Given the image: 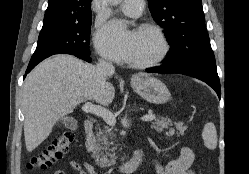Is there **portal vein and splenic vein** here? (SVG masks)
<instances>
[{
	"mask_svg": "<svg viewBox=\"0 0 249 174\" xmlns=\"http://www.w3.org/2000/svg\"><path fill=\"white\" fill-rule=\"evenodd\" d=\"M81 109L85 113H91L103 118L104 121L110 126H114L116 124V118L114 114L104 107L94 105L91 102H86ZM141 119L142 121H152L155 119V115L149 113L144 115Z\"/></svg>",
	"mask_w": 249,
	"mask_h": 174,
	"instance_id": "1",
	"label": "portal vein and splenic vein"
}]
</instances>
